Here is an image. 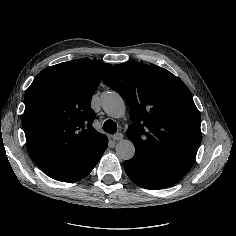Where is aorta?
<instances>
[{
  "instance_id": "762f6f07",
  "label": "aorta",
  "mask_w": 236,
  "mask_h": 236,
  "mask_svg": "<svg viewBox=\"0 0 236 236\" xmlns=\"http://www.w3.org/2000/svg\"><path fill=\"white\" fill-rule=\"evenodd\" d=\"M102 108L113 118H121L125 114V103L117 92H106L101 97ZM135 147L130 140H121L116 145V155L121 160H129L134 156Z\"/></svg>"
}]
</instances>
